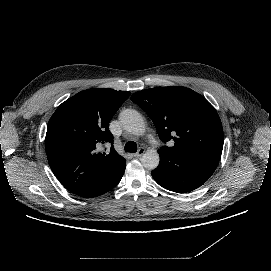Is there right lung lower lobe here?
Listing matches in <instances>:
<instances>
[{"label": "right lung lower lobe", "instance_id": "obj_1", "mask_svg": "<svg viewBox=\"0 0 271 271\" xmlns=\"http://www.w3.org/2000/svg\"><path fill=\"white\" fill-rule=\"evenodd\" d=\"M124 173V172H123ZM123 173L119 175V177L107 188H105L103 191H101L100 193H97V194H94V195H90V196H82V197H88V198H91V197H95V196H98V195H102L110 190H112L121 180L122 176H123Z\"/></svg>", "mask_w": 271, "mask_h": 271}]
</instances>
